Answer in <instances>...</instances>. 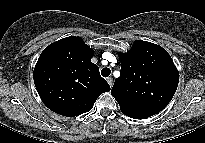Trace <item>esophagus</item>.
<instances>
[{
    "instance_id": "obj_1",
    "label": "esophagus",
    "mask_w": 205,
    "mask_h": 143,
    "mask_svg": "<svg viewBox=\"0 0 205 143\" xmlns=\"http://www.w3.org/2000/svg\"><path fill=\"white\" fill-rule=\"evenodd\" d=\"M108 84L110 85V87H112L113 85V78L112 77H108L107 79Z\"/></svg>"
}]
</instances>
